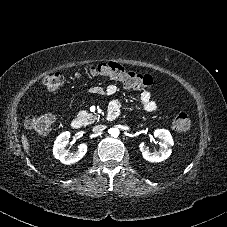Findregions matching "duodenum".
<instances>
[{
  "label": "duodenum",
  "instance_id": "410a0bca",
  "mask_svg": "<svg viewBox=\"0 0 227 227\" xmlns=\"http://www.w3.org/2000/svg\"><path fill=\"white\" fill-rule=\"evenodd\" d=\"M118 116V111L116 109H110L107 113V120L108 121H112L114 119H116ZM71 127L75 130H79L82 128V121L80 119H74L72 122H71Z\"/></svg>",
  "mask_w": 227,
  "mask_h": 227
}]
</instances>
